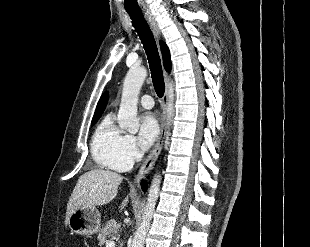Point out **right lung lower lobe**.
Returning <instances> with one entry per match:
<instances>
[{"instance_id": "right-lung-lower-lobe-1", "label": "right lung lower lobe", "mask_w": 310, "mask_h": 247, "mask_svg": "<svg viewBox=\"0 0 310 247\" xmlns=\"http://www.w3.org/2000/svg\"><path fill=\"white\" fill-rule=\"evenodd\" d=\"M142 189L145 191L146 190V183L145 181H142Z\"/></svg>"}]
</instances>
